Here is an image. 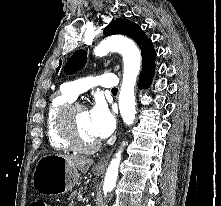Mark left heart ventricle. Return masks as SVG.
<instances>
[{
    "label": "left heart ventricle",
    "instance_id": "b2bd125f",
    "mask_svg": "<svg viewBox=\"0 0 221 206\" xmlns=\"http://www.w3.org/2000/svg\"><path fill=\"white\" fill-rule=\"evenodd\" d=\"M74 119L78 134L84 143L89 144L97 140L90 131L87 111L77 110Z\"/></svg>",
    "mask_w": 221,
    "mask_h": 206
}]
</instances>
